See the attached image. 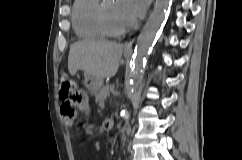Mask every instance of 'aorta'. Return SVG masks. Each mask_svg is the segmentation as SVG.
<instances>
[{
  "label": "aorta",
  "instance_id": "1",
  "mask_svg": "<svg viewBox=\"0 0 242 160\" xmlns=\"http://www.w3.org/2000/svg\"><path fill=\"white\" fill-rule=\"evenodd\" d=\"M170 1L171 0H156L154 9L145 28L137 38L131 70L125 78V93L128 98L132 97L137 81L140 79L146 57L164 21L165 14L170 7ZM124 119L127 121L128 115H125Z\"/></svg>",
  "mask_w": 242,
  "mask_h": 160
}]
</instances>
